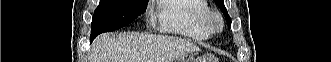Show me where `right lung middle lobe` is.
I'll return each mask as SVG.
<instances>
[{
  "label": "right lung middle lobe",
  "instance_id": "1",
  "mask_svg": "<svg viewBox=\"0 0 331 62\" xmlns=\"http://www.w3.org/2000/svg\"><path fill=\"white\" fill-rule=\"evenodd\" d=\"M145 0H100L91 24V40L130 24L147 8Z\"/></svg>",
  "mask_w": 331,
  "mask_h": 62
}]
</instances>
